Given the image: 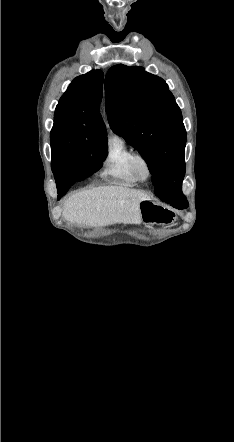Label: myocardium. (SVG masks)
Returning <instances> with one entry per match:
<instances>
[{
    "instance_id": "1",
    "label": "myocardium",
    "mask_w": 234,
    "mask_h": 442,
    "mask_svg": "<svg viewBox=\"0 0 234 442\" xmlns=\"http://www.w3.org/2000/svg\"><path fill=\"white\" fill-rule=\"evenodd\" d=\"M139 161H142L147 169V174L146 176H142L139 171H138V167L137 164ZM130 167L131 170L134 174V176L136 177V179L140 182H145L148 179H150V177L152 176L153 170H152V165L150 160L141 152H134L130 158Z\"/></svg>"
}]
</instances>
